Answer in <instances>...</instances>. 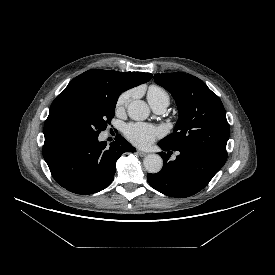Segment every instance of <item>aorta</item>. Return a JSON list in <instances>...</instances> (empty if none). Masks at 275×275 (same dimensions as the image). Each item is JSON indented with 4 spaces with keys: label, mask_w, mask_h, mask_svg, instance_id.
Masks as SVG:
<instances>
[{
    "label": "aorta",
    "mask_w": 275,
    "mask_h": 275,
    "mask_svg": "<svg viewBox=\"0 0 275 275\" xmlns=\"http://www.w3.org/2000/svg\"><path fill=\"white\" fill-rule=\"evenodd\" d=\"M128 115L135 121L145 120L150 113L148 105L142 100L132 101L127 108ZM143 164L149 173H158L163 166V160L158 154H149L144 160Z\"/></svg>",
    "instance_id": "762f6f07"
}]
</instances>
